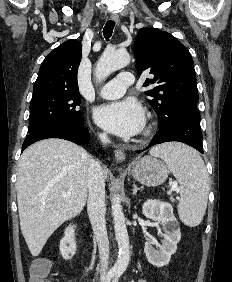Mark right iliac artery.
<instances>
[{
	"mask_svg": "<svg viewBox=\"0 0 232 282\" xmlns=\"http://www.w3.org/2000/svg\"><path fill=\"white\" fill-rule=\"evenodd\" d=\"M114 275H115L114 271H109L107 276H106L105 282H110L111 279L114 277Z\"/></svg>",
	"mask_w": 232,
	"mask_h": 282,
	"instance_id": "1",
	"label": "right iliac artery"
}]
</instances>
